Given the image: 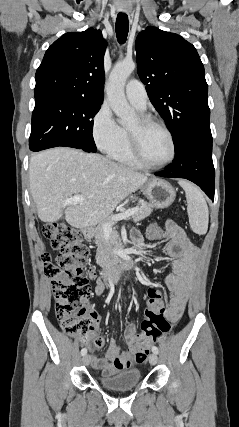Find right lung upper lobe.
<instances>
[{
  "instance_id": "cb5924a9",
  "label": "right lung upper lobe",
  "mask_w": 239,
  "mask_h": 427,
  "mask_svg": "<svg viewBox=\"0 0 239 427\" xmlns=\"http://www.w3.org/2000/svg\"><path fill=\"white\" fill-rule=\"evenodd\" d=\"M106 45L101 31L93 28L61 36L47 49L36 71L35 100L102 103Z\"/></svg>"
}]
</instances>
